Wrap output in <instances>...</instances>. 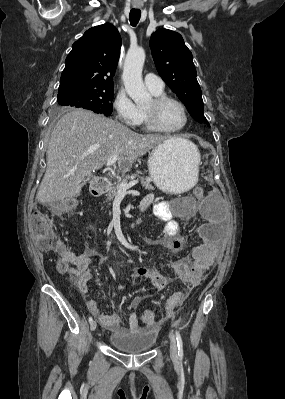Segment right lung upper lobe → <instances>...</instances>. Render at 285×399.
Masks as SVG:
<instances>
[{"instance_id": "cb5924a9", "label": "right lung upper lobe", "mask_w": 285, "mask_h": 399, "mask_svg": "<svg viewBox=\"0 0 285 399\" xmlns=\"http://www.w3.org/2000/svg\"><path fill=\"white\" fill-rule=\"evenodd\" d=\"M121 36L109 23L88 29L73 44L61 74L59 93L74 90L113 89Z\"/></svg>"}]
</instances>
